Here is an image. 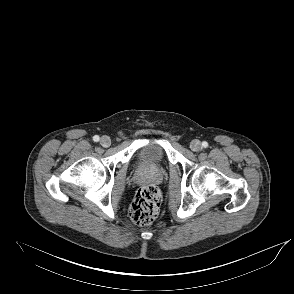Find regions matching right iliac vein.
I'll return each instance as SVG.
<instances>
[{"label": "right iliac vein", "mask_w": 294, "mask_h": 294, "mask_svg": "<svg viewBox=\"0 0 294 294\" xmlns=\"http://www.w3.org/2000/svg\"><path fill=\"white\" fill-rule=\"evenodd\" d=\"M100 144L103 146V147H109L110 144H111V139L110 137L108 136H102L101 139H100Z\"/></svg>", "instance_id": "right-iliac-vein-1"}]
</instances>
